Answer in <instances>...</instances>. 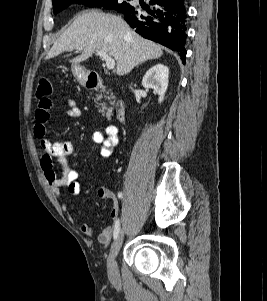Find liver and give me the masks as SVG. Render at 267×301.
<instances>
[{"mask_svg":"<svg viewBox=\"0 0 267 301\" xmlns=\"http://www.w3.org/2000/svg\"><path fill=\"white\" fill-rule=\"evenodd\" d=\"M73 50L82 52L70 60L73 65L86 61L97 51L107 53L116 60L119 76L128 74L141 62L163 55L160 46L138 35L121 17L97 10L81 13L56 40L45 59Z\"/></svg>","mask_w":267,"mask_h":301,"instance_id":"liver-1","label":"liver"}]
</instances>
